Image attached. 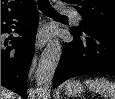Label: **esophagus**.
Returning a JSON list of instances; mask_svg holds the SVG:
<instances>
[{"label":"esophagus","mask_w":115,"mask_h":99,"mask_svg":"<svg viewBox=\"0 0 115 99\" xmlns=\"http://www.w3.org/2000/svg\"><path fill=\"white\" fill-rule=\"evenodd\" d=\"M46 42L47 38L43 37L42 34L39 33L36 39V49H41L42 47H44Z\"/></svg>","instance_id":"1"}]
</instances>
